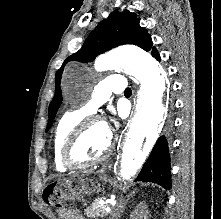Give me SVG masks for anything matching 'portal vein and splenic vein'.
Segmentation results:
<instances>
[{
    "instance_id": "portal-vein-and-splenic-vein-1",
    "label": "portal vein and splenic vein",
    "mask_w": 221,
    "mask_h": 219,
    "mask_svg": "<svg viewBox=\"0 0 221 219\" xmlns=\"http://www.w3.org/2000/svg\"><path fill=\"white\" fill-rule=\"evenodd\" d=\"M113 204H115V202H112V205H113ZM106 211L110 213V212H111V208H110L109 206L106 207Z\"/></svg>"
}]
</instances>
